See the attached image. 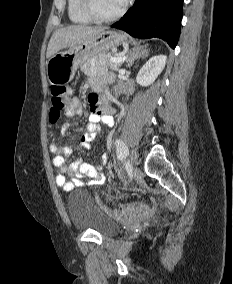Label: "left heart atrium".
Here are the masks:
<instances>
[{
	"instance_id": "1",
	"label": "left heart atrium",
	"mask_w": 233,
	"mask_h": 284,
	"mask_svg": "<svg viewBox=\"0 0 233 284\" xmlns=\"http://www.w3.org/2000/svg\"><path fill=\"white\" fill-rule=\"evenodd\" d=\"M122 4L126 3L128 0H120Z\"/></svg>"
}]
</instances>
